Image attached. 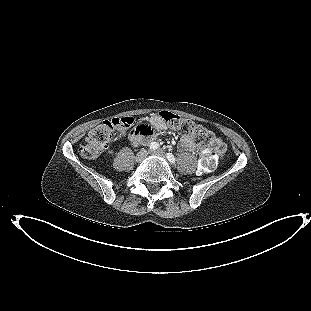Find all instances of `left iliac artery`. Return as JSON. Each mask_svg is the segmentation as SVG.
Segmentation results:
<instances>
[{
    "mask_svg": "<svg viewBox=\"0 0 311 311\" xmlns=\"http://www.w3.org/2000/svg\"><path fill=\"white\" fill-rule=\"evenodd\" d=\"M167 158L171 163H175L176 159L172 153H167Z\"/></svg>",
    "mask_w": 311,
    "mask_h": 311,
    "instance_id": "left-iliac-artery-1",
    "label": "left iliac artery"
}]
</instances>
